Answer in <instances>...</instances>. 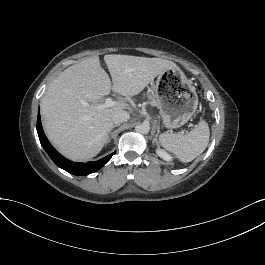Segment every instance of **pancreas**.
Segmentation results:
<instances>
[{"instance_id": "1", "label": "pancreas", "mask_w": 265, "mask_h": 265, "mask_svg": "<svg viewBox=\"0 0 265 265\" xmlns=\"http://www.w3.org/2000/svg\"><path fill=\"white\" fill-rule=\"evenodd\" d=\"M146 96H147V98H148L150 101H152L154 104L156 103V100H155L154 95H152V94H147Z\"/></svg>"}]
</instances>
